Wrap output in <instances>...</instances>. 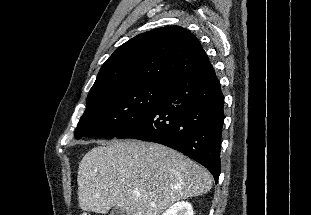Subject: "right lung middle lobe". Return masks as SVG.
<instances>
[{
  "mask_svg": "<svg viewBox=\"0 0 311 215\" xmlns=\"http://www.w3.org/2000/svg\"><path fill=\"white\" fill-rule=\"evenodd\" d=\"M166 84L143 83L109 87L88 95L75 138H114L125 132L161 101Z\"/></svg>",
  "mask_w": 311,
  "mask_h": 215,
  "instance_id": "right-lung-middle-lobe-1",
  "label": "right lung middle lobe"
}]
</instances>
